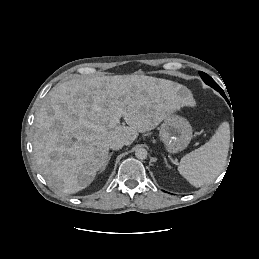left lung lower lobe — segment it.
I'll return each mask as SVG.
<instances>
[{"label":"left lung lower lobe","mask_w":259,"mask_h":259,"mask_svg":"<svg viewBox=\"0 0 259 259\" xmlns=\"http://www.w3.org/2000/svg\"><path fill=\"white\" fill-rule=\"evenodd\" d=\"M219 92L221 93V95H222L225 99H227L226 96H225V94H224V92H223V90H221V91H219Z\"/></svg>","instance_id":"1"}]
</instances>
